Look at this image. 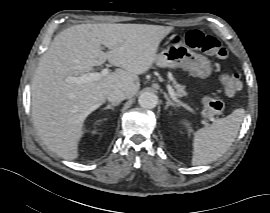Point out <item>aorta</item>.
<instances>
[{"instance_id": "762f6f07", "label": "aorta", "mask_w": 270, "mask_h": 213, "mask_svg": "<svg viewBox=\"0 0 270 213\" xmlns=\"http://www.w3.org/2000/svg\"><path fill=\"white\" fill-rule=\"evenodd\" d=\"M157 102L158 97L152 92H143L138 98L139 105L145 109L155 108Z\"/></svg>"}]
</instances>
